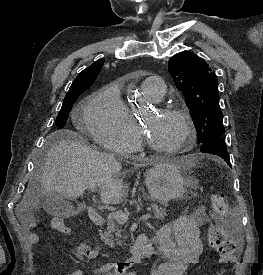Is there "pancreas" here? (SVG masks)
<instances>
[{
  "label": "pancreas",
  "mask_w": 263,
  "mask_h": 275,
  "mask_svg": "<svg viewBox=\"0 0 263 275\" xmlns=\"http://www.w3.org/2000/svg\"><path fill=\"white\" fill-rule=\"evenodd\" d=\"M151 208L154 212L156 219H164L167 216V212L163 208H159L155 203L151 204ZM115 213H110L107 216V228L104 232L100 233L101 240L108 244L110 247H114L115 241L120 244L119 239L121 238V229L114 218ZM114 235L116 239L114 240Z\"/></svg>",
  "instance_id": "1"
}]
</instances>
